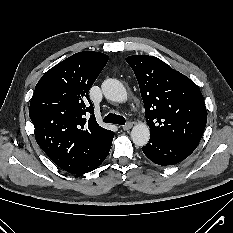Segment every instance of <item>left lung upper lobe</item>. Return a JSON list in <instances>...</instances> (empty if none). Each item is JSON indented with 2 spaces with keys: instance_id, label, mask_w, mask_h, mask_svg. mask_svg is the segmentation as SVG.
<instances>
[{
  "instance_id": "left-lung-upper-lobe-1",
  "label": "left lung upper lobe",
  "mask_w": 233,
  "mask_h": 233,
  "mask_svg": "<svg viewBox=\"0 0 233 233\" xmlns=\"http://www.w3.org/2000/svg\"><path fill=\"white\" fill-rule=\"evenodd\" d=\"M126 61L139 83L150 136L196 149L207 121L199 87L156 57L132 55Z\"/></svg>"
}]
</instances>
